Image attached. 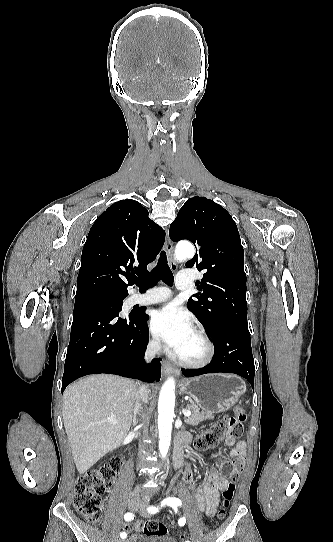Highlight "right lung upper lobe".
<instances>
[{"mask_svg":"<svg viewBox=\"0 0 333 542\" xmlns=\"http://www.w3.org/2000/svg\"><path fill=\"white\" fill-rule=\"evenodd\" d=\"M165 241L164 230L133 199L120 200L106 209L91 227L81 256L77 295L109 292L128 294L135 276L147 275ZM105 249L110 260L101 265L86 261L91 249Z\"/></svg>","mask_w":333,"mask_h":542,"instance_id":"obj_1","label":"right lung upper lobe"}]
</instances>
